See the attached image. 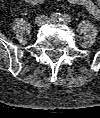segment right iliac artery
<instances>
[{"instance_id": "82829eb1", "label": "right iliac artery", "mask_w": 100, "mask_h": 118, "mask_svg": "<svg viewBox=\"0 0 100 118\" xmlns=\"http://www.w3.org/2000/svg\"><path fill=\"white\" fill-rule=\"evenodd\" d=\"M51 18H52L54 21L58 22V21H61L62 15H61L60 13H53V14L51 15Z\"/></svg>"}]
</instances>
